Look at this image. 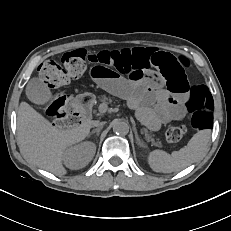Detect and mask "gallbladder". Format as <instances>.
<instances>
[{"label":"gallbladder","mask_w":231,"mask_h":231,"mask_svg":"<svg viewBox=\"0 0 231 231\" xmlns=\"http://www.w3.org/2000/svg\"><path fill=\"white\" fill-rule=\"evenodd\" d=\"M28 99L39 105L46 104L52 99V93L48 86L38 78H32L26 87Z\"/></svg>","instance_id":"gallbladder-1"}]
</instances>
